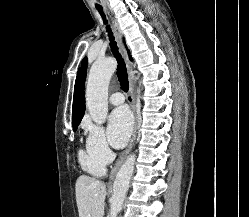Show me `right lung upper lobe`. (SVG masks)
Segmentation results:
<instances>
[{
    "label": "right lung upper lobe",
    "instance_id": "right-lung-upper-lobe-1",
    "mask_svg": "<svg viewBox=\"0 0 249 217\" xmlns=\"http://www.w3.org/2000/svg\"><path fill=\"white\" fill-rule=\"evenodd\" d=\"M85 76L82 70L79 69L75 81L73 110H72V124L78 126L85 112V95H84Z\"/></svg>",
    "mask_w": 249,
    "mask_h": 217
}]
</instances>
